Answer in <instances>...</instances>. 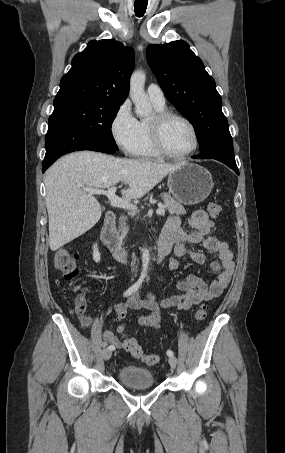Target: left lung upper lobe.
Here are the masks:
<instances>
[{"instance_id":"left-lung-upper-lobe-1","label":"left lung upper lobe","mask_w":285,"mask_h":453,"mask_svg":"<svg viewBox=\"0 0 285 453\" xmlns=\"http://www.w3.org/2000/svg\"><path fill=\"white\" fill-rule=\"evenodd\" d=\"M147 61L167 99L192 123L200 151L233 149L228 121L214 79L185 41L152 44Z\"/></svg>"}]
</instances>
